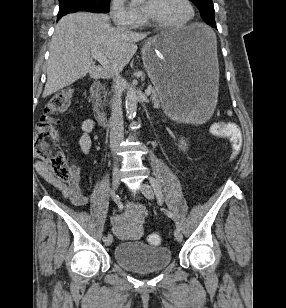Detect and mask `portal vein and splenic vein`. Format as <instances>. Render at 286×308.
Masks as SVG:
<instances>
[{"mask_svg":"<svg viewBox=\"0 0 286 308\" xmlns=\"http://www.w3.org/2000/svg\"><path fill=\"white\" fill-rule=\"evenodd\" d=\"M91 54H92V57L96 59L102 65V67H104L105 69L109 68V62L107 58L105 57V55H103L101 52H98V51H92ZM151 93H152V90L150 87L145 90L146 95H150Z\"/></svg>","mask_w":286,"mask_h":308,"instance_id":"18ae733b","label":"portal vein and splenic vein"}]
</instances>
